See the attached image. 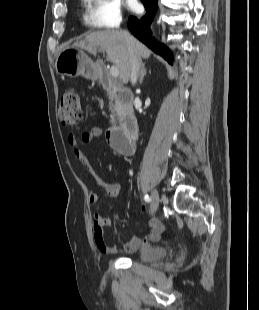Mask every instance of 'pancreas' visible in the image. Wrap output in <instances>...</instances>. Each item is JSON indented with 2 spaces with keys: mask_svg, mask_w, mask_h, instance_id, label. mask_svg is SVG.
<instances>
[{
  "mask_svg": "<svg viewBox=\"0 0 259 310\" xmlns=\"http://www.w3.org/2000/svg\"><path fill=\"white\" fill-rule=\"evenodd\" d=\"M116 116H117V114L114 113V112L110 115V117H111V122H112V123H115Z\"/></svg>",
  "mask_w": 259,
  "mask_h": 310,
  "instance_id": "1",
  "label": "pancreas"
}]
</instances>
